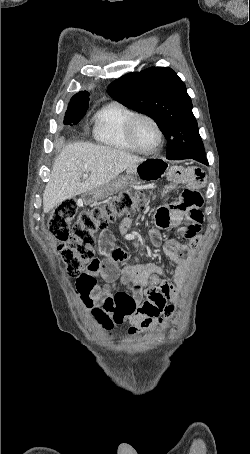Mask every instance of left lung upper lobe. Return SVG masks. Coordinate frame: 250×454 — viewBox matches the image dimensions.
Returning a JSON list of instances; mask_svg holds the SVG:
<instances>
[{
    "instance_id": "obj_1",
    "label": "left lung upper lobe",
    "mask_w": 250,
    "mask_h": 454,
    "mask_svg": "<svg viewBox=\"0 0 250 454\" xmlns=\"http://www.w3.org/2000/svg\"><path fill=\"white\" fill-rule=\"evenodd\" d=\"M124 106L151 117L167 139L166 158L204 154L186 86L168 67L125 74L107 88Z\"/></svg>"
}]
</instances>
